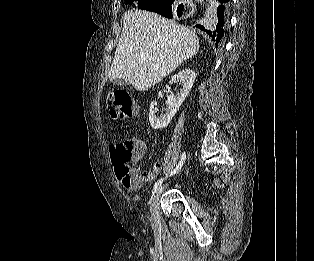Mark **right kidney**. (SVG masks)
<instances>
[{
	"mask_svg": "<svg viewBox=\"0 0 314 261\" xmlns=\"http://www.w3.org/2000/svg\"><path fill=\"white\" fill-rule=\"evenodd\" d=\"M196 74L194 71L190 69H185L179 72L177 75H174L171 78V82H180L182 83L183 87L176 95H169L166 101L167 110L164 114L160 116H156L157 108H156V101H153L150 105L149 110V121L153 129H163L165 128L174 115L177 113L179 107L189 94L194 81H195Z\"/></svg>",
	"mask_w": 314,
	"mask_h": 261,
	"instance_id": "right-kidney-1",
	"label": "right kidney"
}]
</instances>
